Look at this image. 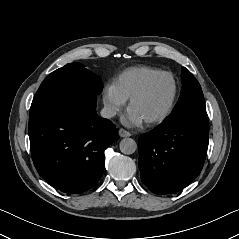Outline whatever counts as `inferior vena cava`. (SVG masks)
Listing matches in <instances>:
<instances>
[{
    "label": "inferior vena cava",
    "instance_id": "602c4592",
    "mask_svg": "<svg viewBox=\"0 0 239 239\" xmlns=\"http://www.w3.org/2000/svg\"><path fill=\"white\" fill-rule=\"evenodd\" d=\"M100 113L104 118H112L116 115L115 109L110 106H105Z\"/></svg>",
    "mask_w": 239,
    "mask_h": 239
}]
</instances>
